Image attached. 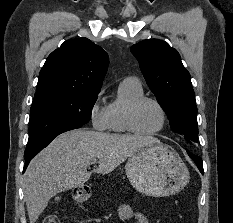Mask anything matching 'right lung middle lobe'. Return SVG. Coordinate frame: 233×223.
I'll return each mask as SVG.
<instances>
[{
    "mask_svg": "<svg viewBox=\"0 0 233 223\" xmlns=\"http://www.w3.org/2000/svg\"><path fill=\"white\" fill-rule=\"evenodd\" d=\"M98 94L49 92L34 96L25 156L43 149L61 132L88 123Z\"/></svg>",
    "mask_w": 233,
    "mask_h": 223,
    "instance_id": "obj_1",
    "label": "right lung middle lobe"
}]
</instances>
